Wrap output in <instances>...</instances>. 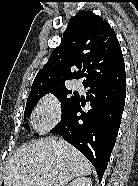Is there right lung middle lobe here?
Masks as SVG:
<instances>
[{
	"label": "right lung middle lobe",
	"instance_id": "1",
	"mask_svg": "<svg viewBox=\"0 0 138 186\" xmlns=\"http://www.w3.org/2000/svg\"><path fill=\"white\" fill-rule=\"evenodd\" d=\"M48 93L54 94L62 102V104H61L62 117L74 106V104L78 100V97H76V96L68 97V94H71L72 91L68 90L65 86L53 88V89L46 90V91L30 93V95L28 96V99H27L24 116L29 117L34 106L38 102V100ZM23 127L25 129L29 130L28 124H23ZM34 135L37 136L38 134H34Z\"/></svg>",
	"mask_w": 138,
	"mask_h": 186
}]
</instances>
